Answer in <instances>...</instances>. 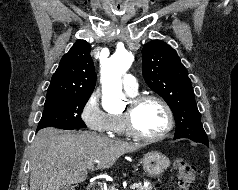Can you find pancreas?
Wrapping results in <instances>:
<instances>
[{"mask_svg":"<svg viewBox=\"0 0 238 190\" xmlns=\"http://www.w3.org/2000/svg\"><path fill=\"white\" fill-rule=\"evenodd\" d=\"M106 190H118V189H116L115 186L113 185ZM137 190H152V186L151 184H149L148 186L139 185Z\"/></svg>","mask_w":238,"mask_h":190,"instance_id":"cf45deb5","label":"pancreas"}]
</instances>
